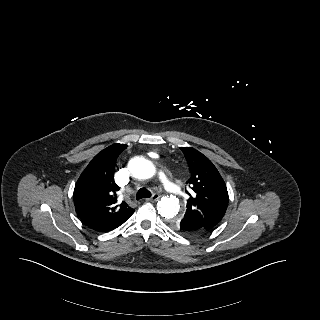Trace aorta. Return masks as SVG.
Here are the masks:
<instances>
[{
  "label": "aorta",
  "instance_id": "762f6f07",
  "mask_svg": "<svg viewBox=\"0 0 320 320\" xmlns=\"http://www.w3.org/2000/svg\"><path fill=\"white\" fill-rule=\"evenodd\" d=\"M128 168L138 180H147L155 176V165L144 156H136L129 161ZM180 209V202L175 196L161 198L157 203L158 213L167 220H174Z\"/></svg>",
  "mask_w": 320,
  "mask_h": 320
}]
</instances>
